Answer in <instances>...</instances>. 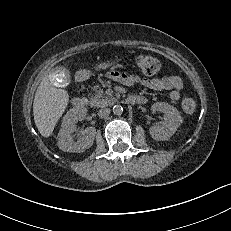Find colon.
I'll use <instances>...</instances> for the list:
<instances>
[{
  "mask_svg": "<svg viewBox=\"0 0 231 231\" xmlns=\"http://www.w3.org/2000/svg\"><path fill=\"white\" fill-rule=\"evenodd\" d=\"M137 68L141 73L146 76H153L161 68V64L158 59L150 55H140L136 59ZM182 109L187 114L195 112L197 104L194 98L185 97L181 102Z\"/></svg>",
  "mask_w": 231,
  "mask_h": 231,
  "instance_id": "5ec220e1",
  "label": "colon"
}]
</instances>
